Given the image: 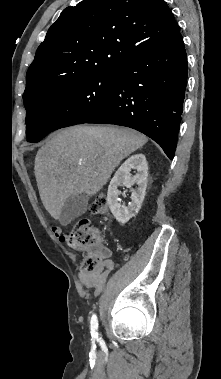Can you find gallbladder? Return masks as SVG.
Wrapping results in <instances>:
<instances>
[{
  "label": "gallbladder",
  "mask_w": 221,
  "mask_h": 379,
  "mask_svg": "<svg viewBox=\"0 0 221 379\" xmlns=\"http://www.w3.org/2000/svg\"><path fill=\"white\" fill-rule=\"evenodd\" d=\"M89 196L85 193L69 197L61 209L59 221L62 225L69 224L75 218L85 213Z\"/></svg>",
  "instance_id": "bac80fb5"
}]
</instances>
